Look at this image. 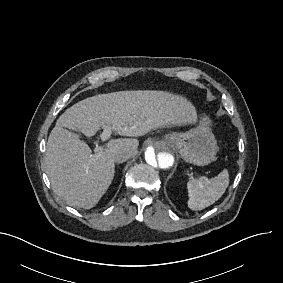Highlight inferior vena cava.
<instances>
[{
  "label": "inferior vena cava",
  "instance_id": "obj_1",
  "mask_svg": "<svg viewBox=\"0 0 283 283\" xmlns=\"http://www.w3.org/2000/svg\"><path fill=\"white\" fill-rule=\"evenodd\" d=\"M136 155V153L129 149V148H122V149H118L115 152V162L118 164L124 163L126 160L131 159L132 157H134Z\"/></svg>",
  "mask_w": 283,
  "mask_h": 283
}]
</instances>
